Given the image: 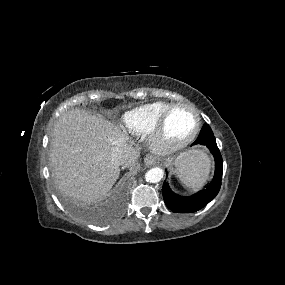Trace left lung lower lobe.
I'll use <instances>...</instances> for the list:
<instances>
[{"instance_id":"left-lung-lower-lobe-1","label":"left lung lower lobe","mask_w":285,"mask_h":285,"mask_svg":"<svg viewBox=\"0 0 285 285\" xmlns=\"http://www.w3.org/2000/svg\"><path fill=\"white\" fill-rule=\"evenodd\" d=\"M206 145L215 158V174L211 183L198 195L180 197L173 193L166 181L162 187L164 201L169 209L178 213H191L207 205L219 192L221 187L223 161L215 137L209 125H204L193 145Z\"/></svg>"}]
</instances>
